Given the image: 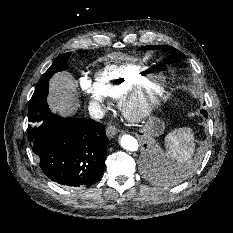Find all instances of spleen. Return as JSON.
Instances as JSON below:
<instances>
[{"label":"spleen","mask_w":233,"mask_h":233,"mask_svg":"<svg viewBox=\"0 0 233 233\" xmlns=\"http://www.w3.org/2000/svg\"><path fill=\"white\" fill-rule=\"evenodd\" d=\"M167 154L179 165L187 163L195 151V140L190 128H178L165 137Z\"/></svg>","instance_id":"spleen-1"}]
</instances>
